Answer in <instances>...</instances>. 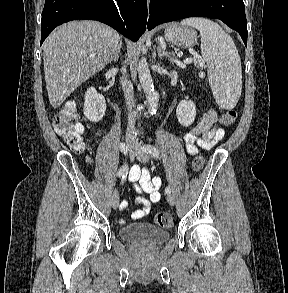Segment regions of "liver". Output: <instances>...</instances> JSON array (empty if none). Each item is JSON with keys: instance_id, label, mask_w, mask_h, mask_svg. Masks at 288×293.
I'll use <instances>...</instances> for the list:
<instances>
[{"instance_id": "6515ba94", "label": "liver", "mask_w": 288, "mask_h": 293, "mask_svg": "<svg viewBox=\"0 0 288 293\" xmlns=\"http://www.w3.org/2000/svg\"><path fill=\"white\" fill-rule=\"evenodd\" d=\"M119 41L117 31L97 21H71L52 31L43 44L50 104L59 107L77 87L104 69Z\"/></svg>"}]
</instances>
